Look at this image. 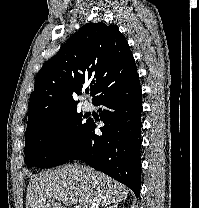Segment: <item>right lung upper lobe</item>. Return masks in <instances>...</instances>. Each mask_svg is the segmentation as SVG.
Instances as JSON below:
<instances>
[{
    "mask_svg": "<svg viewBox=\"0 0 199 208\" xmlns=\"http://www.w3.org/2000/svg\"><path fill=\"white\" fill-rule=\"evenodd\" d=\"M136 74L130 47L116 25H84L36 75L26 133L77 110L74 97L89 84L94 102Z\"/></svg>",
    "mask_w": 199,
    "mask_h": 208,
    "instance_id": "obj_1",
    "label": "right lung upper lobe"
}]
</instances>
